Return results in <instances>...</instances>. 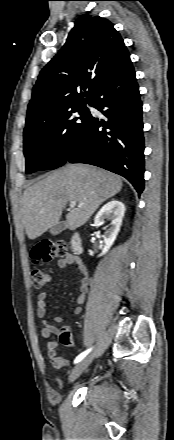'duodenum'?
Masks as SVG:
<instances>
[{
  "mask_svg": "<svg viewBox=\"0 0 174 440\" xmlns=\"http://www.w3.org/2000/svg\"><path fill=\"white\" fill-rule=\"evenodd\" d=\"M71 248L75 254H80L83 249L82 238L79 233H74L71 237Z\"/></svg>",
  "mask_w": 174,
  "mask_h": 440,
  "instance_id": "410a0bca",
  "label": "duodenum"
}]
</instances>
